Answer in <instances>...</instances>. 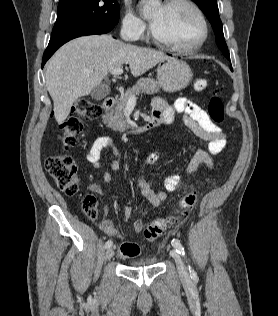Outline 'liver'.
<instances>
[{
    "label": "liver",
    "mask_w": 278,
    "mask_h": 316,
    "mask_svg": "<svg viewBox=\"0 0 278 316\" xmlns=\"http://www.w3.org/2000/svg\"><path fill=\"white\" fill-rule=\"evenodd\" d=\"M167 57L163 52L127 44L111 35H90L68 42L46 66V86L56 121L63 123L73 103L89 95L113 69L129 65L132 75L138 77Z\"/></svg>",
    "instance_id": "6515ba94"
}]
</instances>
